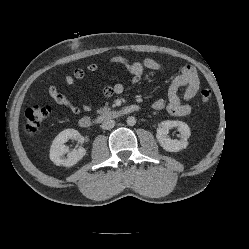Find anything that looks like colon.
Here are the masks:
<instances>
[{
    "label": "colon",
    "mask_w": 249,
    "mask_h": 249,
    "mask_svg": "<svg viewBox=\"0 0 249 249\" xmlns=\"http://www.w3.org/2000/svg\"><path fill=\"white\" fill-rule=\"evenodd\" d=\"M201 99L205 102L211 99L212 93L209 89H202L200 92ZM50 107L35 105L29 108L25 114V129L29 135H35L44 120L50 114Z\"/></svg>",
    "instance_id": "obj_1"
}]
</instances>
